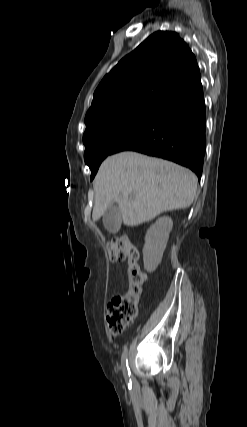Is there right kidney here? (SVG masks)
<instances>
[{"label": "right kidney", "mask_w": 247, "mask_h": 427, "mask_svg": "<svg viewBox=\"0 0 247 427\" xmlns=\"http://www.w3.org/2000/svg\"><path fill=\"white\" fill-rule=\"evenodd\" d=\"M172 227V219L164 216L148 229L143 247L144 269L147 272L155 271L160 264Z\"/></svg>", "instance_id": "obj_1"}]
</instances>
